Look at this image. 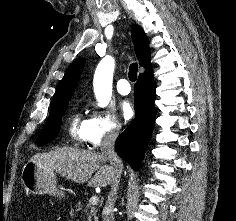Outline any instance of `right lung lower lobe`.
<instances>
[{
	"label": "right lung lower lobe",
	"mask_w": 236,
	"mask_h": 221,
	"mask_svg": "<svg viewBox=\"0 0 236 221\" xmlns=\"http://www.w3.org/2000/svg\"><path fill=\"white\" fill-rule=\"evenodd\" d=\"M136 117L119 135L115 143L117 153L135 170L140 168L155 122L156 84L153 70L139 75L135 84Z\"/></svg>",
	"instance_id": "right-lung-lower-lobe-1"
}]
</instances>
